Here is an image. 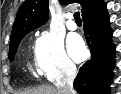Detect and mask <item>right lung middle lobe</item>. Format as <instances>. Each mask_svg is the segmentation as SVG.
<instances>
[{
	"label": "right lung middle lobe",
	"instance_id": "1",
	"mask_svg": "<svg viewBox=\"0 0 121 94\" xmlns=\"http://www.w3.org/2000/svg\"><path fill=\"white\" fill-rule=\"evenodd\" d=\"M32 31V29L24 31L20 34H18L16 37L10 40V50H9V59L12 61L14 59L16 49L21 41V39L28 33Z\"/></svg>",
	"mask_w": 121,
	"mask_h": 94
}]
</instances>
